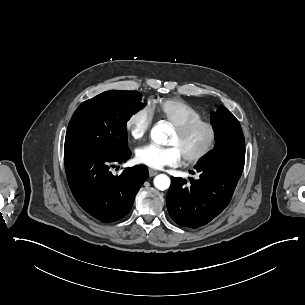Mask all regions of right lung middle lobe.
Here are the masks:
<instances>
[{
    "instance_id": "dd1d6c3e",
    "label": "right lung middle lobe",
    "mask_w": 305,
    "mask_h": 305,
    "mask_svg": "<svg viewBox=\"0 0 305 305\" xmlns=\"http://www.w3.org/2000/svg\"><path fill=\"white\" fill-rule=\"evenodd\" d=\"M136 91L111 90L83 102L74 112L66 133L65 152L113 154L127 149V121L141 110Z\"/></svg>"
}]
</instances>
